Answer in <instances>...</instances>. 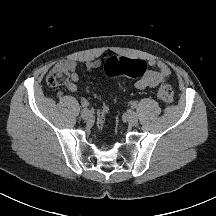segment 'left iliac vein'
I'll use <instances>...</instances> for the list:
<instances>
[{
    "label": "left iliac vein",
    "instance_id": "obj_1",
    "mask_svg": "<svg viewBox=\"0 0 216 216\" xmlns=\"http://www.w3.org/2000/svg\"><path fill=\"white\" fill-rule=\"evenodd\" d=\"M126 119L131 125H135L138 122V116L134 111H129L126 113Z\"/></svg>",
    "mask_w": 216,
    "mask_h": 216
}]
</instances>
